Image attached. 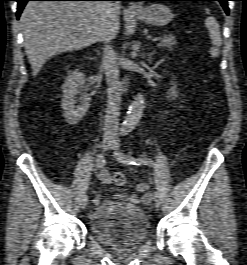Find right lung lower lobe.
I'll return each instance as SVG.
<instances>
[{
    "label": "right lung lower lobe",
    "mask_w": 247,
    "mask_h": 265,
    "mask_svg": "<svg viewBox=\"0 0 247 265\" xmlns=\"http://www.w3.org/2000/svg\"><path fill=\"white\" fill-rule=\"evenodd\" d=\"M18 2L17 9V19H19L20 14L28 1H108V0H16ZM111 1H127V0H111Z\"/></svg>",
    "instance_id": "right-lung-lower-lobe-1"
}]
</instances>
